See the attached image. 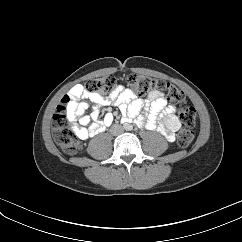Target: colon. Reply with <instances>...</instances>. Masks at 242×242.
Instances as JSON below:
<instances>
[{"mask_svg":"<svg viewBox=\"0 0 242 242\" xmlns=\"http://www.w3.org/2000/svg\"><path fill=\"white\" fill-rule=\"evenodd\" d=\"M128 82L134 93L139 96L147 95L155 91L164 92L168 100L178 106L179 115L184 127L179 131L177 142L182 148L189 146L193 140V127L196 124V111L194 107L187 104L185 94L182 90L163 80L151 78L140 74H131ZM116 86V78L113 75H103L98 78L88 80L84 89L90 93L107 95L114 91ZM63 102L70 100L67 94L63 98ZM53 137L57 145L68 155H73L81 147V143L73 128L71 122L64 111L63 103H61L52 119Z\"/></svg>","mask_w":242,"mask_h":242,"instance_id":"5ec220e1","label":"colon"}]
</instances>
